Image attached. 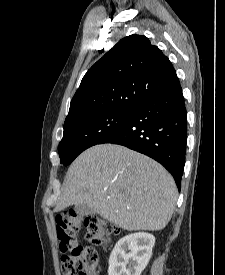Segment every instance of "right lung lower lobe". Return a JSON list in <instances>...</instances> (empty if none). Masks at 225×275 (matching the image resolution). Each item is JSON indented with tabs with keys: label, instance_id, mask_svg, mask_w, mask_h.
Returning <instances> with one entry per match:
<instances>
[{
	"label": "right lung lower lobe",
	"instance_id": "obj_1",
	"mask_svg": "<svg viewBox=\"0 0 225 275\" xmlns=\"http://www.w3.org/2000/svg\"><path fill=\"white\" fill-rule=\"evenodd\" d=\"M187 112L181 86L138 104L117 129L99 142L126 146L161 163L178 189L185 165Z\"/></svg>",
	"mask_w": 225,
	"mask_h": 275
}]
</instances>
